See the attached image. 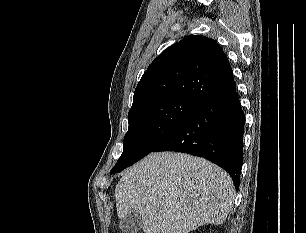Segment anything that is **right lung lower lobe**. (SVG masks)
I'll return each mask as SVG.
<instances>
[{"instance_id":"obj_1","label":"right lung lower lobe","mask_w":306,"mask_h":233,"mask_svg":"<svg viewBox=\"0 0 306 233\" xmlns=\"http://www.w3.org/2000/svg\"><path fill=\"white\" fill-rule=\"evenodd\" d=\"M244 113L236 89L208 101L182 122L155 151L203 157L225 169L239 188Z\"/></svg>"}]
</instances>
